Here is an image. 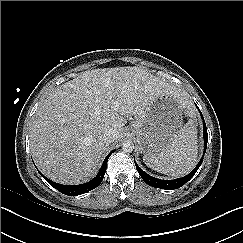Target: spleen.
Masks as SVG:
<instances>
[{
  "label": "spleen",
  "mask_w": 243,
  "mask_h": 243,
  "mask_svg": "<svg viewBox=\"0 0 243 243\" xmlns=\"http://www.w3.org/2000/svg\"><path fill=\"white\" fill-rule=\"evenodd\" d=\"M197 142V129L189 120L168 147L157 154L145 155L143 161L157 172L172 177L182 176L196 166Z\"/></svg>",
  "instance_id": "1"
}]
</instances>
